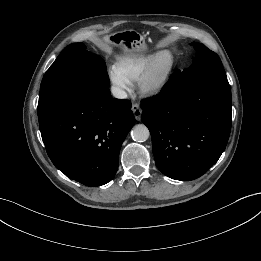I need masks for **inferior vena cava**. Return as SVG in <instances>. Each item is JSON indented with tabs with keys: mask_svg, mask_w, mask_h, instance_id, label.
<instances>
[{
	"mask_svg": "<svg viewBox=\"0 0 261 261\" xmlns=\"http://www.w3.org/2000/svg\"><path fill=\"white\" fill-rule=\"evenodd\" d=\"M111 92H112V94L115 98H118V99H126L127 98V93L119 87H115V86L112 87Z\"/></svg>",
	"mask_w": 261,
	"mask_h": 261,
	"instance_id": "inferior-vena-cava-1",
	"label": "inferior vena cava"
}]
</instances>
